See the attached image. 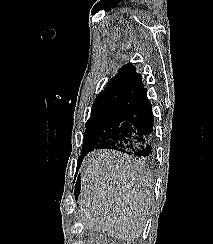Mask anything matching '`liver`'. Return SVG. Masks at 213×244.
Returning a JSON list of instances; mask_svg holds the SVG:
<instances>
[{"label":"liver","instance_id":"1","mask_svg":"<svg viewBox=\"0 0 213 244\" xmlns=\"http://www.w3.org/2000/svg\"><path fill=\"white\" fill-rule=\"evenodd\" d=\"M153 198L149 171L125 154L100 150L81 174L79 207L90 230L134 240L142 233Z\"/></svg>","mask_w":213,"mask_h":244}]
</instances>
